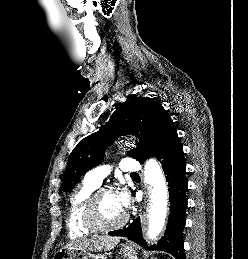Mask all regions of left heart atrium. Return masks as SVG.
I'll use <instances>...</instances> for the list:
<instances>
[{"instance_id":"left-heart-atrium-1","label":"left heart atrium","mask_w":248,"mask_h":259,"mask_svg":"<svg viewBox=\"0 0 248 259\" xmlns=\"http://www.w3.org/2000/svg\"><path fill=\"white\" fill-rule=\"evenodd\" d=\"M116 197L122 208L126 211L129 206V196L124 191L116 192Z\"/></svg>"}]
</instances>
